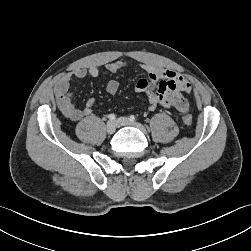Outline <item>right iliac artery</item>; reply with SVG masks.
Wrapping results in <instances>:
<instances>
[{"mask_svg":"<svg viewBox=\"0 0 251 251\" xmlns=\"http://www.w3.org/2000/svg\"><path fill=\"white\" fill-rule=\"evenodd\" d=\"M108 118L110 119V120H115L116 119V115L115 114H110L109 116H108Z\"/></svg>","mask_w":251,"mask_h":251,"instance_id":"1","label":"right iliac artery"}]
</instances>
